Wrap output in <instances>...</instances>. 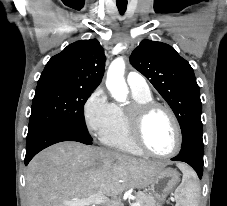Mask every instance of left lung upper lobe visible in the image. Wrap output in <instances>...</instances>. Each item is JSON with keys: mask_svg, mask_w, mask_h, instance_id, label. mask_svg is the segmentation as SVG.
Listing matches in <instances>:
<instances>
[{"mask_svg": "<svg viewBox=\"0 0 227 206\" xmlns=\"http://www.w3.org/2000/svg\"><path fill=\"white\" fill-rule=\"evenodd\" d=\"M130 62L172 108L181 127L182 145L193 140L203 150L201 100L192 67L168 44L143 40Z\"/></svg>", "mask_w": 227, "mask_h": 206, "instance_id": "left-lung-upper-lobe-1", "label": "left lung upper lobe"}]
</instances>
